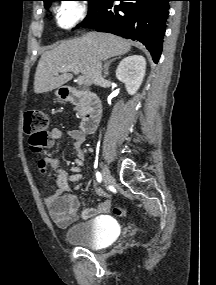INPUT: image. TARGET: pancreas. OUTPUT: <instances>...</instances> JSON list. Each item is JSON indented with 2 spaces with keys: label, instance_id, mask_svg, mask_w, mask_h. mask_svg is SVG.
Listing matches in <instances>:
<instances>
[{
  "label": "pancreas",
  "instance_id": "pancreas-1",
  "mask_svg": "<svg viewBox=\"0 0 216 285\" xmlns=\"http://www.w3.org/2000/svg\"><path fill=\"white\" fill-rule=\"evenodd\" d=\"M85 104L84 103H78L76 106V110L79 112V114H83L85 111Z\"/></svg>",
  "mask_w": 216,
  "mask_h": 285
}]
</instances>
